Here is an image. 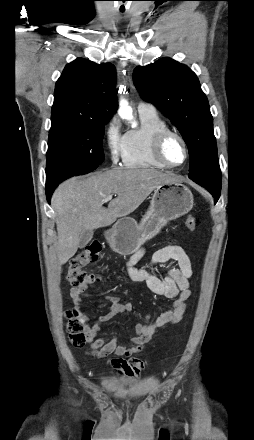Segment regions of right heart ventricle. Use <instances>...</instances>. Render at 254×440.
Listing matches in <instances>:
<instances>
[{"instance_id": "e07e8e85", "label": "right heart ventricle", "mask_w": 254, "mask_h": 440, "mask_svg": "<svg viewBox=\"0 0 254 440\" xmlns=\"http://www.w3.org/2000/svg\"><path fill=\"white\" fill-rule=\"evenodd\" d=\"M139 116L141 125L125 134L123 165L129 168L166 169L152 153L154 136L160 130L168 128L166 122L156 111L139 112Z\"/></svg>"}]
</instances>
